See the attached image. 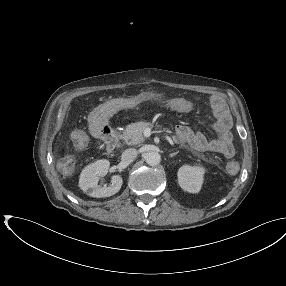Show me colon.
I'll list each match as a JSON object with an SVG mask.
<instances>
[{
    "mask_svg": "<svg viewBox=\"0 0 286 286\" xmlns=\"http://www.w3.org/2000/svg\"><path fill=\"white\" fill-rule=\"evenodd\" d=\"M73 143L77 148H83L87 143L86 133L82 130H79L73 135ZM66 163L73 164L74 159L72 157H67L64 160ZM238 168V165L234 162L228 164V170L230 172H235Z\"/></svg>",
    "mask_w": 286,
    "mask_h": 286,
    "instance_id": "1",
    "label": "colon"
}]
</instances>
